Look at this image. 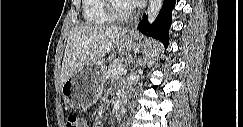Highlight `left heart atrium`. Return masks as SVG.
<instances>
[{"label":"left heart atrium","instance_id":"1","mask_svg":"<svg viewBox=\"0 0 243 127\" xmlns=\"http://www.w3.org/2000/svg\"><path fill=\"white\" fill-rule=\"evenodd\" d=\"M128 2L136 6V5L140 4L142 1L141 0H129Z\"/></svg>","mask_w":243,"mask_h":127}]
</instances>
